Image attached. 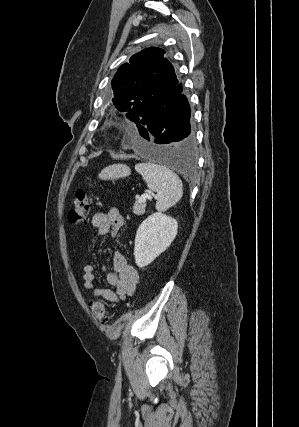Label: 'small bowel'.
<instances>
[{"label": "small bowel", "instance_id": "1", "mask_svg": "<svg viewBox=\"0 0 299 427\" xmlns=\"http://www.w3.org/2000/svg\"><path fill=\"white\" fill-rule=\"evenodd\" d=\"M124 226V218L116 208L108 212L95 213L91 219L90 227L100 235L110 233L117 236ZM113 272L106 274V281L111 288H99L94 286V266L89 259L83 262V288L92 292L96 298L118 303L131 296L139 280L137 270L128 263L120 252L113 256Z\"/></svg>", "mask_w": 299, "mask_h": 427}]
</instances>
